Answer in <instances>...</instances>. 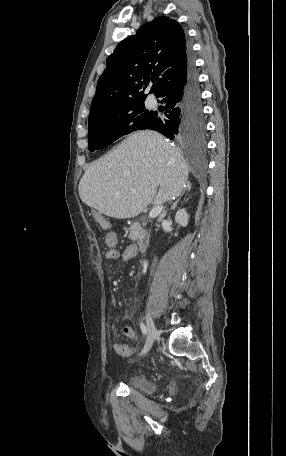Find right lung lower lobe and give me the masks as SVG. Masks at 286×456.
Instances as JSON below:
<instances>
[{"label": "right lung lower lobe", "instance_id": "obj_1", "mask_svg": "<svg viewBox=\"0 0 286 456\" xmlns=\"http://www.w3.org/2000/svg\"><path fill=\"white\" fill-rule=\"evenodd\" d=\"M157 97L165 103V113L155 111L147 128L156 130L170 139L201 137L204 132L200 88L197 72L191 58L184 78L168 86ZM192 124L202 125L201 134H189L186 127Z\"/></svg>", "mask_w": 286, "mask_h": 456}]
</instances>
